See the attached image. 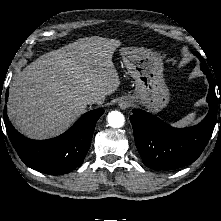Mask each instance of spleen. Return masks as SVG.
I'll use <instances>...</instances> for the list:
<instances>
[{"label":"spleen","instance_id":"spleen-1","mask_svg":"<svg viewBox=\"0 0 221 221\" xmlns=\"http://www.w3.org/2000/svg\"><path fill=\"white\" fill-rule=\"evenodd\" d=\"M196 112L189 113L187 116L183 117L181 120L173 123L177 127H185L193 124L195 120Z\"/></svg>","mask_w":221,"mask_h":221}]
</instances>
